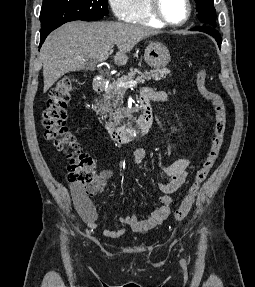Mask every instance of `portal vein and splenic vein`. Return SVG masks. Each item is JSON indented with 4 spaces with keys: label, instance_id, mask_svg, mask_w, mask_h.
Wrapping results in <instances>:
<instances>
[{
    "label": "portal vein and splenic vein",
    "instance_id": "18ae733b",
    "mask_svg": "<svg viewBox=\"0 0 255 287\" xmlns=\"http://www.w3.org/2000/svg\"><path fill=\"white\" fill-rule=\"evenodd\" d=\"M108 58L109 52H104V54H100L98 62H105V60H108ZM137 84V80H131V82H119V84H117V88H135Z\"/></svg>",
    "mask_w": 255,
    "mask_h": 287
}]
</instances>
